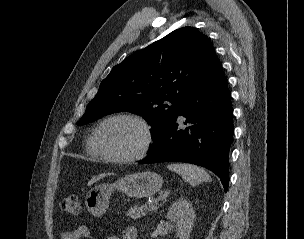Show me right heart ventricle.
Masks as SVG:
<instances>
[{
    "mask_svg": "<svg viewBox=\"0 0 304 239\" xmlns=\"http://www.w3.org/2000/svg\"><path fill=\"white\" fill-rule=\"evenodd\" d=\"M86 150L87 153L94 158H100L99 154L95 151L93 144H92V139L91 137L88 138L87 143H86Z\"/></svg>",
    "mask_w": 304,
    "mask_h": 239,
    "instance_id": "obj_1",
    "label": "right heart ventricle"
}]
</instances>
